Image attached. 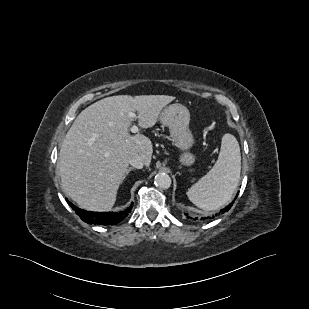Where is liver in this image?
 Listing matches in <instances>:
<instances>
[{"instance_id": "1", "label": "liver", "mask_w": 309, "mask_h": 309, "mask_svg": "<svg viewBox=\"0 0 309 309\" xmlns=\"http://www.w3.org/2000/svg\"><path fill=\"white\" fill-rule=\"evenodd\" d=\"M176 97L168 95H118L84 109L62 143L58 167L63 191L90 211L110 210L128 174L129 159L140 155L148 167L153 153L151 140L130 135L137 111L138 125L153 127L162 109Z\"/></svg>"}]
</instances>
